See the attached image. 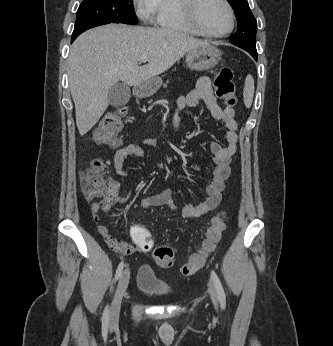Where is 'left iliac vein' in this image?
Here are the masks:
<instances>
[{"instance_id":"left-iliac-vein-1","label":"left iliac vein","mask_w":333,"mask_h":346,"mask_svg":"<svg viewBox=\"0 0 333 346\" xmlns=\"http://www.w3.org/2000/svg\"><path fill=\"white\" fill-rule=\"evenodd\" d=\"M209 294L214 306H217V292L215 287L211 283H209Z\"/></svg>"}]
</instances>
